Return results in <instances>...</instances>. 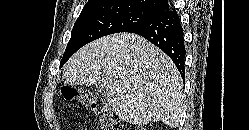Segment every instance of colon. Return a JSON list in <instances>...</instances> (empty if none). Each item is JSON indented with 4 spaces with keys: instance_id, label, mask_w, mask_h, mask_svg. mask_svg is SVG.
<instances>
[{
    "instance_id": "obj_1",
    "label": "colon",
    "mask_w": 249,
    "mask_h": 130,
    "mask_svg": "<svg viewBox=\"0 0 249 130\" xmlns=\"http://www.w3.org/2000/svg\"><path fill=\"white\" fill-rule=\"evenodd\" d=\"M61 97L65 101H75L94 113L100 130H122V125L107 102L92 92L71 85L61 87Z\"/></svg>"
}]
</instances>
